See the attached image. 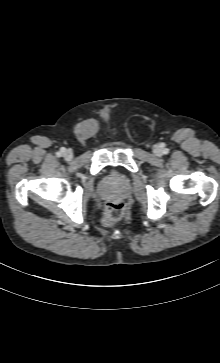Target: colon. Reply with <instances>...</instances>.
I'll return each instance as SVG.
<instances>
[{
	"label": "colon",
	"mask_w": 220,
	"mask_h": 363,
	"mask_svg": "<svg viewBox=\"0 0 220 363\" xmlns=\"http://www.w3.org/2000/svg\"><path fill=\"white\" fill-rule=\"evenodd\" d=\"M126 206L121 200H112L104 207L103 222L110 225L121 219L125 213Z\"/></svg>",
	"instance_id": "5ec220e1"
}]
</instances>
